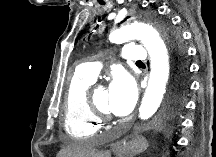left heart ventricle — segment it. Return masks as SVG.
<instances>
[{
    "label": "left heart ventricle",
    "mask_w": 216,
    "mask_h": 157,
    "mask_svg": "<svg viewBox=\"0 0 216 157\" xmlns=\"http://www.w3.org/2000/svg\"><path fill=\"white\" fill-rule=\"evenodd\" d=\"M94 101L96 102V104L102 109V110H106L109 112L108 110V93H107V89L103 88V89H97L94 93Z\"/></svg>",
    "instance_id": "left-heart-ventricle-1"
}]
</instances>
